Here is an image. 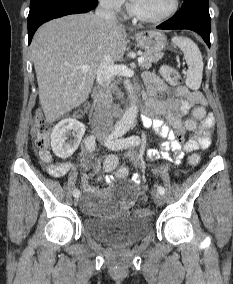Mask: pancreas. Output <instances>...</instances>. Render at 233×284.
<instances>
[{"mask_svg": "<svg viewBox=\"0 0 233 284\" xmlns=\"http://www.w3.org/2000/svg\"><path fill=\"white\" fill-rule=\"evenodd\" d=\"M163 53H149L145 52L143 54L144 62L140 63L139 66L141 69H149L152 66V63L159 61L163 57Z\"/></svg>", "mask_w": 233, "mask_h": 284, "instance_id": "obj_1", "label": "pancreas"}]
</instances>
